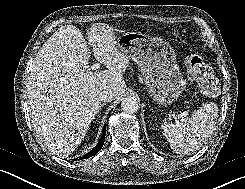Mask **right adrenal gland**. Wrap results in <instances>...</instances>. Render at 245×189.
Listing matches in <instances>:
<instances>
[{"label":"right adrenal gland","instance_id":"obj_1","mask_svg":"<svg viewBox=\"0 0 245 189\" xmlns=\"http://www.w3.org/2000/svg\"><path fill=\"white\" fill-rule=\"evenodd\" d=\"M104 105H106V103L101 104L100 109H101Z\"/></svg>","mask_w":245,"mask_h":189}]
</instances>
